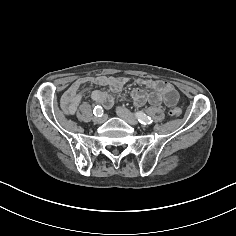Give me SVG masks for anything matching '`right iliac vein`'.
<instances>
[{"label":"right iliac vein","mask_w":236,"mask_h":236,"mask_svg":"<svg viewBox=\"0 0 236 236\" xmlns=\"http://www.w3.org/2000/svg\"><path fill=\"white\" fill-rule=\"evenodd\" d=\"M106 120H107V115H103L102 117L98 118V119L96 120V122H97L98 124H102V123H104Z\"/></svg>","instance_id":"obj_1"}]
</instances>
